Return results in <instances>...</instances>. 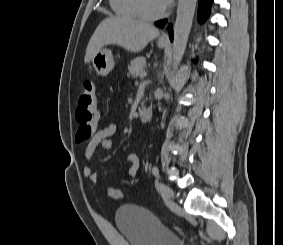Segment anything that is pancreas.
Returning <instances> with one entry per match:
<instances>
[{"instance_id":"1","label":"pancreas","mask_w":283,"mask_h":245,"mask_svg":"<svg viewBox=\"0 0 283 245\" xmlns=\"http://www.w3.org/2000/svg\"><path fill=\"white\" fill-rule=\"evenodd\" d=\"M145 66H146V59L144 57H137L131 60L128 69L133 77H137L141 74V72H143Z\"/></svg>"}]
</instances>
